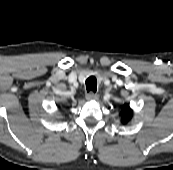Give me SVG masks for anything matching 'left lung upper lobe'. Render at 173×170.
I'll return each mask as SVG.
<instances>
[{"label": "left lung upper lobe", "instance_id": "1", "mask_svg": "<svg viewBox=\"0 0 173 170\" xmlns=\"http://www.w3.org/2000/svg\"><path fill=\"white\" fill-rule=\"evenodd\" d=\"M132 109L130 108L129 104H124L121 107V111H120V116H121V121L122 123H127L131 117H132Z\"/></svg>", "mask_w": 173, "mask_h": 170}]
</instances>
